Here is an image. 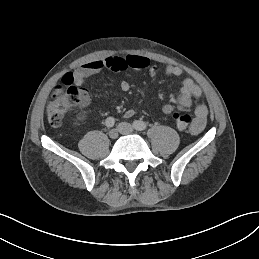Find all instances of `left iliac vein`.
<instances>
[{
    "instance_id": "1",
    "label": "left iliac vein",
    "mask_w": 259,
    "mask_h": 259,
    "mask_svg": "<svg viewBox=\"0 0 259 259\" xmlns=\"http://www.w3.org/2000/svg\"><path fill=\"white\" fill-rule=\"evenodd\" d=\"M117 129L121 134H124V135H129L134 133V127L131 124L126 122H122L118 124Z\"/></svg>"
}]
</instances>
